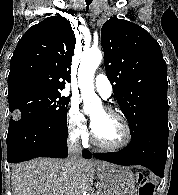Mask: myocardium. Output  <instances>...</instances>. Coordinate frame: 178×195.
Here are the masks:
<instances>
[{
    "mask_svg": "<svg viewBox=\"0 0 178 195\" xmlns=\"http://www.w3.org/2000/svg\"><path fill=\"white\" fill-rule=\"evenodd\" d=\"M104 111L108 115L116 117L121 122V124H122V126L124 127V130H125V138L121 143L116 144V145L105 144V143L101 142L98 139V137L96 136V134L94 132V129H93L92 130V141H93V143L96 146H98L102 149H105V150H109V151H118V150L126 148L132 140V130H131V127H130L127 119L121 113H119L118 111H116L113 108L107 107V108H104Z\"/></svg>",
    "mask_w": 178,
    "mask_h": 195,
    "instance_id": "1",
    "label": "myocardium"
}]
</instances>
